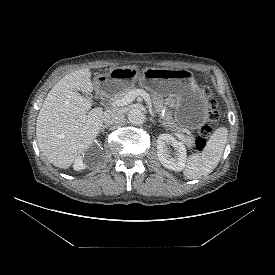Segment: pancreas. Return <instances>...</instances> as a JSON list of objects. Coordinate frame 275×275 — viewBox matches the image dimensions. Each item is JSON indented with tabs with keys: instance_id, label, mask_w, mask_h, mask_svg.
<instances>
[{
	"instance_id": "1",
	"label": "pancreas",
	"mask_w": 275,
	"mask_h": 275,
	"mask_svg": "<svg viewBox=\"0 0 275 275\" xmlns=\"http://www.w3.org/2000/svg\"><path fill=\"white\" fill-rule=\"evenodd\" d=\"M132 90V87L125 88L115 94L112 95L111 100L116 101L124 97L129 91ZM163 126L169 129L174 134H179L185 139V143L188 147L194 145V138L191 135H184L185 128L180 126L175 119L171 116L169 112H166L161 120Z\"/></svg>"
}]
</instances>
